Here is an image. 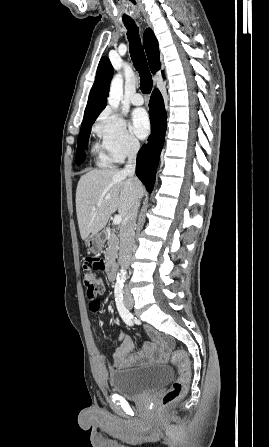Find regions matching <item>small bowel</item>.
I'll list each match as a JSON object with an SVG mask.
<instances>
[{"label": "small bowel", "instance_id": "obj_1", "mask_svg": "<svg viewBox=\"0 0 269 447\" xmlns=\"http://www.w3.org/2000/svg\"><path fill=\"white\" fill-rule=\"evenodd\" d=\"M147 333L153 339L154 343H147L142 348L134 352V343L123 331H120V345L115 350L114 366L117 369L133 367L144 361L166 362L168 359V348L162 343V339L167 340L170 337L169 332L164 331L160 335L154 328L147 327Z\"/></svg>", "mask_w": 269, "mask_h": 447}]
</instances>
